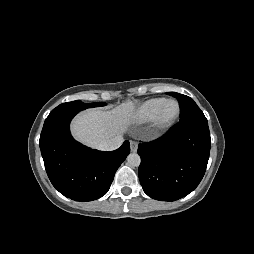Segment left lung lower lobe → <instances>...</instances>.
Returning a JSON list of instances; mask_svg holds the SVG:
<instances>
[{"instance_id":"left-lung-lower-lobe-1","label":"left lung lower lobe","mask_w":254,"mask_h":254,"mask_svg":"<svg viewBox=\"0 0 254 254\" xmlns=\"http://www.w3.org/2000/svg\"><path fill=\"white\" fill-rule=\"evenodd\" d=\"M210 146L208 122L198 119L180 121L161 138L139 144L138 174L144 192L161 201L191 193L204 176Z\"/></svg>"}]
</instances>
